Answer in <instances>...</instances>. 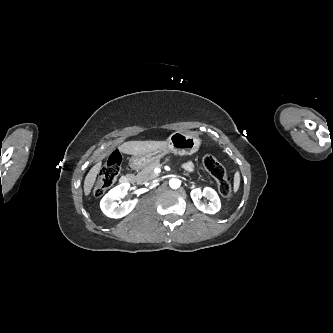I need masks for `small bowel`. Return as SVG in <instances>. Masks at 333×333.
<instances>
[{
  "instance_id": "c3829d8e",
  "label": "small bowel",
  "mask_w": 333,
  "mask_h": 333,
  "mask_svg": "<svg viewBox=\"0 0 333 333\" xmlns=\"http://www.w3.org/2000/svg\"><path fill=\"white\" fill-rule=\"evenodd\" d=\"M185 167L187 168V169H192V164L191 163H187L186 165H185Z\"/></svg>"
}]
</instances>
